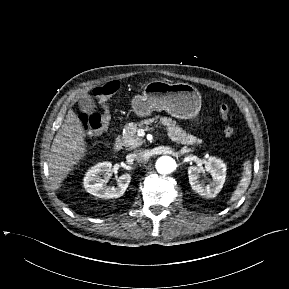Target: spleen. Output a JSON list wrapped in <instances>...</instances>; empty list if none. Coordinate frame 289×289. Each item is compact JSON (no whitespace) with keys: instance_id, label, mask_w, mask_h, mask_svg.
Listing matches in <instances>:
<instances>
[{"instance_id":"obj_1","label":"spleen","mask_w":289,"mask_h":289,"mask_svg":"<svg viewBox=\"0 0 289 289\" xmlns=\"http://www.w3.org/2000/svg\"><path fill=\"white\" fill-rule=\"evenodd\" d=\"M250 182H251V163L250 161H246L244 163V171L242 173L241 180L239 181L228 203H232L240 199L241 196L246 192Z\"/></svg>"}]
</instances>
